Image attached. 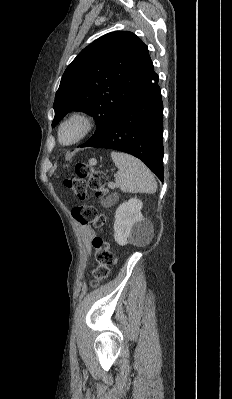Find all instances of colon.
Wrapping results in <instances>:
<instances>
[{
	"label": "colon",
	"instance_id": "5ec220e1",
	"mask_svg": "<svg viewBox=\"0 0 232 399\" xmlns=\"http://www.w3.org/2000/svg\"><path fill=\"white\" fill-rule=\"evenodd\" d=\"M97 160H83L77 163L76 167L81 170H76V175H68V180H62V185L69 186V194L77 196V202H81L79 207H74L70 210L76 222H102V225H94V230H102V234H107V219L103 218V213H99V196L102 195V188H105L106 182V198H111V173H106L102 170H94L96 168ZM81 180V181H79ZM86 186L94 188V203H86ZM98 216V217H97ZM94 243V265L90 266V273L94 274L96 281L107 283L108 273H113L114 266V244L111 240H106V244L102 245V236H97L92 239Z\"/></svg>",
	"mask_w": 232,
	"mask_h": 399
}]
</instances>
